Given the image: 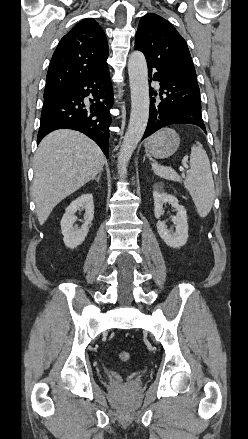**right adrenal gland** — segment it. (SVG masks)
I'll use <instances>...</instances> for the list:
<instances>
[{
	"label": "right adrenal gland",
	"mask_w": 248,
	"mask_h": 439,
	"mask_svg": "<svg viewBox=\"0 0 248 439\" xmlns=\"http://www.w3.org/2000/svg\"><path fill=\"white\" fill-rule=\"evenodd\" d=\"M102 172H103V170H101V171L99 172L98 176L95 177V178H93V180H96V181L99 183V182H100L101 175H102Z\"/></svg>",
	"instance_id": "obj_1"
}]
</instances>
